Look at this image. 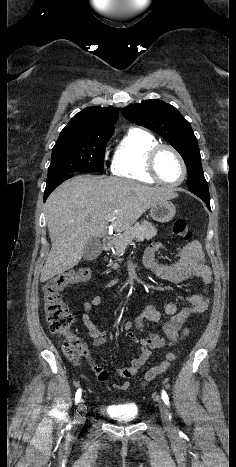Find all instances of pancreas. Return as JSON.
I'll return each mask as SVG.
<instances>
[{"label":"pancreas","mask_w":236,"mask_h":467,"mask_svg":"<svg viewBox=\"0 0 236 467\" xmlns=\"http://www.w3.org/2000/svg\"><path fill=\"white\" fill-rule=\"evenodd\" d=\"M157 230L152 223L144 222L138 223L130 227L122 234H118L114 239V248L117 255L124 254L126 248L132 244L133 240L142 242L144 240H150L156 236ZM111 266L113 269H117L119 265L113 264L110 260L108 267Z\"/></svg>","instance_id":"pancreas-1"}]
</instances>
